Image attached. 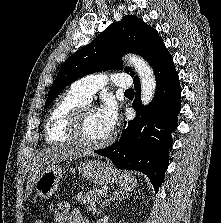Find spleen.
<instances>
[{
  "label": "spleen",
  "mask_w": 221,
  "mask_h": 223,
  "mask_svg": "<svg viewBox=\"0 0 221 223\" xmlns=\"http://www.w3.org/2000/svg\"><path fill=\"white\" fill-rule=\"evenodd\" d=\"M120 184L125 191H131L136 187V179L129 173L119 174Z\"/></svg>",
  "instance_id": "3e777b00"
}]
</instances>
